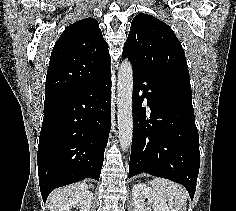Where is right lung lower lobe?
<instances>
[{
    "label": "right lung lower lobe",
    "mask_w": 236,
    "mask_h": 211,
    "mask_svg": "<svg viewBox=\"0 0 236 211\" xmlns=\"http://www.w3.org/2000/svg\"><path fill=\"white\" fill-rule=\"evenodd\" d=\"M111 125V71L81 87L45 94L38 145L44 202L58 187L98 180Z\"/></svg>",
    "instance_id": "right-lung-lower-lobe-1"
}]
</instances>
